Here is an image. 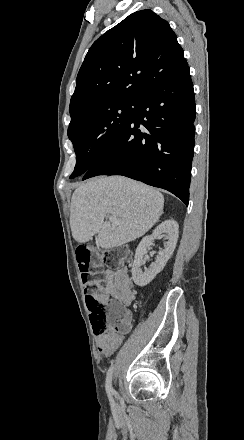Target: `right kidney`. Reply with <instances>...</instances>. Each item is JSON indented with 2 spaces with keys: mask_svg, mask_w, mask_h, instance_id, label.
Segmentation results:
<instances>
[{
  "mask_svg": "<svg viewBox=\"0 0 244 440\" xmlns=\"http://www.w3.org/2000/svg\"><path fill=\"white\" fill-rule=\"evenodd\" d=\"M178 228L179 226L175 220H165V222H162L160 226H157V228L153 230L151 236H146V238H143L142 242H140L131 270L133 282L136 286H147V284H150L155 276L163 270L164 266H166L176 248ZM156 238H166L168 242H166L164 250H161L158 256H156L155 262H152L149 268H144L143 272L141 266L145 264L144 256L147 254V248L151 246L153 240H156Z\"/></svg>",
  "mask_w": 244,
  "mask_h": 440,
  "instance_id": "1",
  "label": "right kidney"
}]
</instances>
